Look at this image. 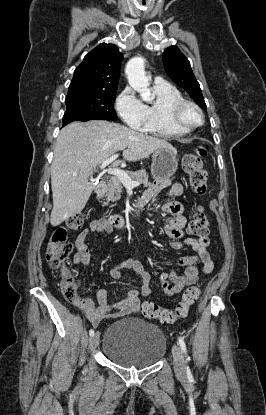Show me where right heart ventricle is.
<instances>
[{"mask_svg":"<svg viewBox=\"0 0 266 415\" xmlns=\"http://www.w3.org/2000/svg\"><path fill=\"white\" fill-rule=\"evenodd\" d=\"M153 93L154 100L145 105L146 120L142 130L166 138L187 134L189 130L175 126L169 117V106L172 102L183 98L181 92L172 84L162 82L154 83Z\"/></svg>","mask_w":266,"mask_h":415,"instance_id":"e07e8e85","label":"right heart ventricle"}]
</instances>
